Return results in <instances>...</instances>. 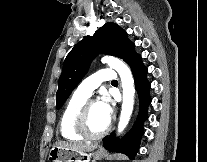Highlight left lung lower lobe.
<instances>
[{
    "mask_svg": "<svg viewBox=\"0 0 207 162\" xmlns=\"http://www.w3.org/2000/svg\"><path fill=\"white\" fill-rule=\"evenodd\" d=\"M129 65L133 72L135 85L139 96L138 116L132 129L122 140L117 142L114 133H112L103 139V146L112 152L120 151L133 160L139 149L140 138L143 134V122L148 117L147 107L150 104L151 99L149 95L150 84L146 79L147 69L143 66L140 57H135L129 63Z\"/></svg>",
    "mask_w": 207,
    "mask_h": 162,
    "instance_id": "obj_1",
    "label": "left lung lower lobe"
}]
</instances>
